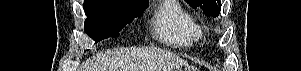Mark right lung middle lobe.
Masks as SVG:
<instances>
[{
    "label": "right lung middle lobe",
    "mask_w": 301,
    "mask_h": 71,
    "mask_svg": "<svg viewBox=\"0 0 301 71\" xmlns=\"http://www.w3.org/2000/svg\"><path fill=\"white\" fill-rule=\"evenodd\" d=\"M148 6V1L85 0L87 19L84 30L96 42L115 37L126 24L142 15Z\"/></svg>",
    "instance_id": "1"
}]
</instances>
